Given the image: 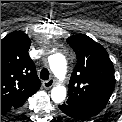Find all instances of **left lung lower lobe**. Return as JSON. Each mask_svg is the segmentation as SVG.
Masks as SVG:
<instances>
[{"instance_id":"0a47b994","label":"left lung lower lobe","mask_w":122,"mask_h":122,"mask_svg":"<svg viewBox=\"0 0 122 122\" xmlns=\"http://www.w3.org/2000/svg\"><path fill=\"white\" fill-rule=\"evenodd\" d=\"M59 108L63 113L77 120H87L93 116L86 111L69 106L67 104L59 105Z\"/></svg>"}]
</instances>
